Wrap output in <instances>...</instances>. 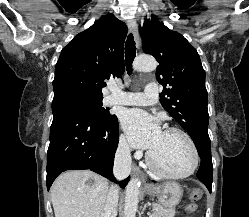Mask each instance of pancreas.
Here are the masks:
<instances>
[{
	"label": "pancreas",
	"instance_id": "cf45deb5",
	"mask_svg": "<svg viewBox=\"0 0 249 217\" xmlns=\"http://www.w3.org/2000/svg\"><path fill=\"white\" fill-rule=\"evenodd\" d=\"M174 215H175L174 208L166 209L162 207L160 204L154 203L152 205V213L150 214L149 217H174Z\"/></svg>",
	"mask_w": 249,
	"mask_h": 217
}]
</instances>
